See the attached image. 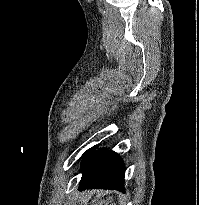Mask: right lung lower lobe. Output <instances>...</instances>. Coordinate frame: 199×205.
<instances>
[{
  "instance_id": "1",
  "label": "right lung lower lobe",
  "mask_w": 199,
  "mask_h": 205,
  "mask_svg": "<svg viewBox=\"0 0 199 205\" xmlns=\"http://www.w3.org/2000/svg\"><path fill=\"white\" fill-rule=\"evenodd\" d=\"M79 190L111 189L125 192V165L120 156L108 149L93 150L82 160Z\"/></svg>"
}]
</instances>
